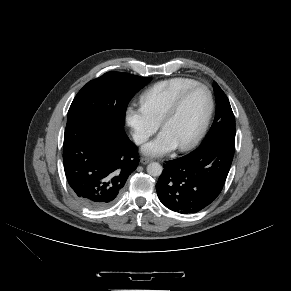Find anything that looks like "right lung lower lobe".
Wrapping results in <instances>:
<instances>
[{"mask_svg": "<svg viewBox=\"0 0 291 291\" xmlns=\"http://www.w3.org/2000/svg\"><path fill=\"white\" fill-rule=\"evenodd\" d=\"M63 162L74 195L88 208L101 210L114 204L136 169L137 147L122 126L76 122L65 129Z\"/></svg>", "mask_w": 291, "mask_h": 291, "instance_id": "obj_1", "label": "right lung lower lobe"}]
</instances>
